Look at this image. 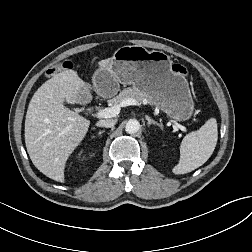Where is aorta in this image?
Here are the masks:
<instances>
[{
  "instance_id": "762f6f07",
  "label": "aorta",
  "mask_w": 252,
  "mask_h": 252,
  "mask_svg": "<svg viewBox=\"0 0 252 252\" xmlns=\"http://www.w3.org/2000/svg\"><path fill=\"white\" fill-rule=\"evenodd\" d=\"M140 129V123L136 119H130L125 126V130L129 134L137 133Z\"/></svg>"
}]
</instances>
